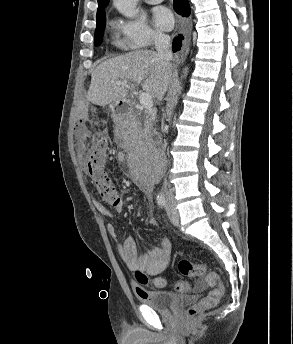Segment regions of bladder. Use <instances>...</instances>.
Returning a JSON list of instances; mask_svg holds the SVG:
<instances>
[{"label": "bladder", "mask_w": 293, "mask_h": 344, "mask_svg": "<svg viewBox=\"0 0 293 344\" xmlns=\"http://www.w3.org/2000/svg\"><path fill=\"white\" fill-rule=\"evenodd\" d=\"M185 295L172 291L146 290L141 301L149 307L159 311H169L179 303L187 300Z\"/></svg>", "instance_id": "31cf9c89"}]
</instances>
